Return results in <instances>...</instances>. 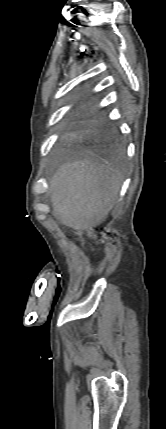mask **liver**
<instances>
[{
    "instance_id": "6515ba94",
    "label": "liver",
    "mask_w": 166,
    "mask_h": 429,
    "mask_svg": "<svg viewBox=\"0 0 166 429\" xmlns=\"http://www.w3.org/2000/svg\"><path fill=\"white\" fill-rule=\"evenodd\" d=\"M122 183L119 171L89 160L60 166L49 182L55 218L76 234L100 225L113 208Z\"/></svg>"
}]
</instances>
